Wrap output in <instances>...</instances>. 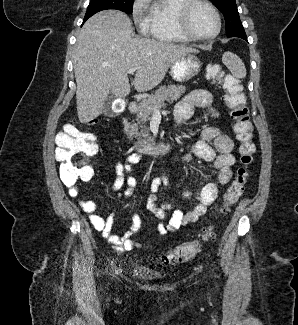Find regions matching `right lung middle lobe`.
<instances>
[{
    "label": "right lung middle lobe",
    "instance_id": "obj_1",
    "mask_svg": "<svg viewBox=\"0 0 298 325\" xmlns=\"http://www.w3.org/2000/svg\"><path fill=\"white\" fill-rule=\"evenodd\" d=\"M134 0H91L84 20H87L93 14L105 9H117L126 13H132Z\"/></svg>",
    "mask_w": 298,
    "mask_h": 325
}]
</instances>
